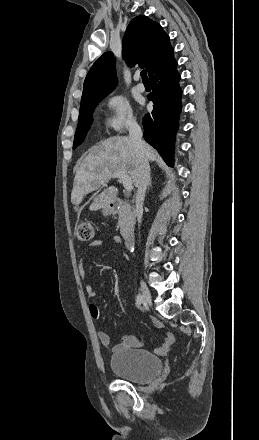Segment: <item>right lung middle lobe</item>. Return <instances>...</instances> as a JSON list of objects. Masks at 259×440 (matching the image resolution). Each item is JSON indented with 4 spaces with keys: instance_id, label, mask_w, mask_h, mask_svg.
Instances as JSON below:
<instances>
[{
    "instance_id": "right-lung-middle-lobe-1",
    "label": "right lung middle lobe",
    "mask_w": 259,
    "mask_h": 440,
    "mask_svg": "<svg viewBox=\"0 0 259 440\" xmlns=\"http://www.w3.org/2000/svg\"><path fill=\"white\" fill-rule=\"evenodd\" d=\"M104 97L88 102L86 104L80 105V113L78 118V127L75 133V139L73 142V149H75L78 145H80L83 140L85 139V136L90 129V126L92 124V114L95 110V107L97 104L103 99Z\"/></svg>"
}]
</instances>
